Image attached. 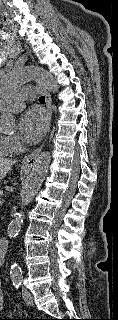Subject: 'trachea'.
Here are the masks:
<instances>
[{
	"label": "trachea",
	"instance_id": "1",
	"mask_svg": "<svg viewBox=\"0 0 118 320\" xmlns=\"http://www.w3.org/2000/svg\"><path fill=\"white\" fill-rule=\"evenodd\" d=\"M39 102L45 103V97H44V96H41V97L39 98Z\"/></svg>",
	"mask_w": 118,
	"mask_h": 320
}]
</instances>
